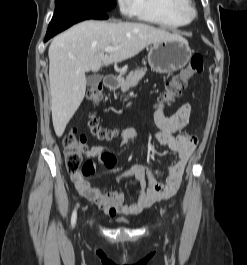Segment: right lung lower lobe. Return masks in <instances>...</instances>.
I'll return each mask as SVG.
<instances>
[{"label": "right lung lower lobe", "mask_w": 247, "mask_h": 265, "mask_svg": "<svg viewBox=\"0 0 247 265\" xmlns=\"http://www.w3.org/2000/svg\"><path fill=\"white\" fill-rule=\"evenodd\" d=\"M108 16L106 12L99 10H73L68 12H63L60 14H54L44 41L46 42L51 37L55 36L59 32L67 29L73 24L87 20V19H107Z\"/></svg>", "instance_id": "right-lung-lower-lobe-1"}]
</instances>
